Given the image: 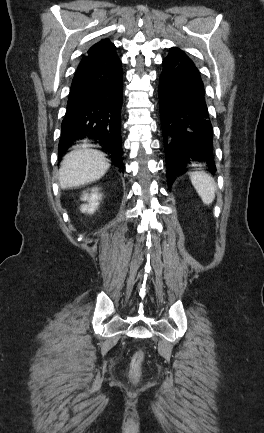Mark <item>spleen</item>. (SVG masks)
Returning a JSON list of instances; mask_svg holds the SVG:
<instances>
[{
	"mask_svg": "<svg viewBox=\"0 0 264 433\" xmlns=\"http://www.w3.org/2000/svg\"><path fill=\"white\" fill-rule=\"evenodd\" d=\"M190 179L203 203L206 205L211 204L215 199L216 192L214 179L209 174L202 171L192 172Z\"/></svg>",
	"mask_w": 264,
	"mask_h": 433,
	"instance_id": "spleen-1",
	"label": "spleen"
}]
</instances>
